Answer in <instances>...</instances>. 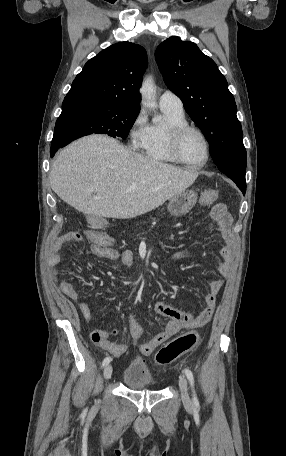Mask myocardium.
<instances>
[{
    "label": "myocardium",
    "instance_id": "f54148a6",
    "mask_svg": "<svg viewBox=\"0 0 286 456\" xmlns=\"http://www.w3.org/2000/svg\"><path fill=\"white\" fill-rule=\"evenodd\" d=\"M188 131H194V132L198 133L204 140V143L206 146V156H205L204 160L200 163L189 162L180 153V150H179L180 140H181L182 136ZM167 143H168L169 152L172 155V157L177 162L187 165L189 167L201 168V167L205 166L208 163V161L210 160V157H211L210 141H209L207 135L205 134V132L195 125H191L189 123H181V124H173V125L169 126V128L167 130Z\"/></svg>",
    "mask_w": 286,
    "mask_h": 456
}]
</instances>
